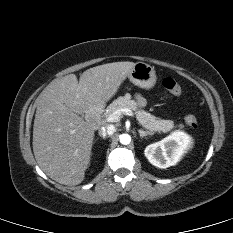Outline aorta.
<instances>
[{"label": "aorta", "instance_id": "1", "mask_svg": "<svg viewBox=\"0 0 233 233\" xmlns=\"http://www.w3.org/2000/svg\"><path fill=\"white\" fill-rule=\"evenodd\" d=\"M119 139L123 145H128L131 142V136L129 134H121Z\"/></svg>", "mask_w": 233, "mask_h": 233}]
</instances>
